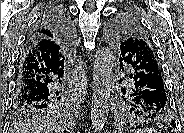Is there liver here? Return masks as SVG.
Here are the masks:
<instances>
[{
    "instance_id": "obj_1",
    "label": "liver",
    "mask_w": 184,
    "mask_h": 133,
    "mask_svg": "<svg viewBox=\"0 0 184 133\" xmlns=\"http://www.w3.org/2000/svg\"><path fill=\"white\" fill-rule=\"evenodd\" d=\"M63 133L62 127L48 117L35 116L14 126L11 133Z\"/></svg>"
}]
</instances>
